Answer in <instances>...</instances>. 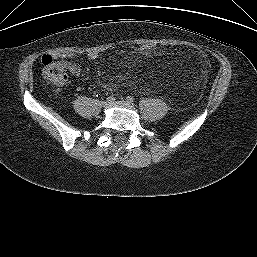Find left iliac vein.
Masks as SVG:
<instances>
[{
	"mask_svg": "<svg viewBox=\"0 0 257 257\" xmlns=\"http://www.w3.org/2000/svg\"><path fill=\"white\" fill-rule=\"evenodd\" d=\"M121 103L127 104V105L129 104V102H128V101H125V100H122Z\"/></svg>",
	"mask_w": 257,
	"mask_h": 257,
	"instance_id": "1",
	"label": "left iliac vein"
}]
</instances>
